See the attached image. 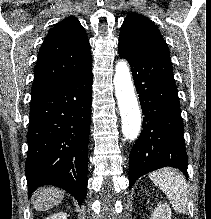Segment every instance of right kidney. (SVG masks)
<instances>
[{"mask_svg":"<svg viewBox=\"0 0 211 219\" xmlns=\"http://www.w3.org/2000/svg\"><path fill=\"white\" fill-rule=\"evenodd\" d=\"M46 219H67V216L65 213L63 212H59V213H56Z\"/></svg>","mask_w":211,"mask_h":219,"instance_id":"ca27d5eb","label":"right kidney"}]
</instances>
